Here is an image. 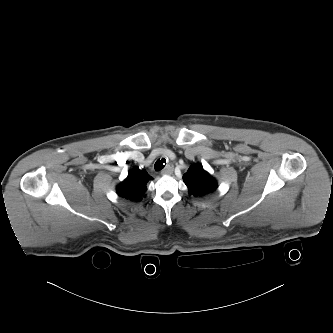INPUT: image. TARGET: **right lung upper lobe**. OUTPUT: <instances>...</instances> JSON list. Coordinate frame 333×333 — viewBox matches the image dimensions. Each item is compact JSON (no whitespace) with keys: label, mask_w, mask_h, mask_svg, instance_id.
<instances>
[{"label":"right lung upper lobe","mask_w":333,"mask_h":333,"mask_svg":"<svg viewBox=\"0 0 333 333\" xmlns=\"http://www.w3.org/2000/svg\"><path fill=\"white\" fill-rule=\"evenodd\" d=\"M151 179L146 170L134 168L128 172L127 178L117 185V194L129 201H141L147 190L146 184Z\"/></svg>","instance_id":"cb5924a9"}]
</instances>
